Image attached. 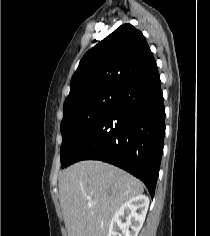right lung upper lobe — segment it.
Masks as SVG:
<instances>
[{
	"label": "right lung upper lobe",
	"instance_id": "obj_1",
	"mask_svg": "<svg viewBox=\"0 0 210 236\" xmlns=\"http://www.w3.org/2000/svg\"><path fill=\"white\" fill-rule=\"evenodd\" d=\"M156 68L143 34L130 24L122 25L83 56L71 79L64 112L92 96L120 92Z\"/></svg>",
	"mask_w": 210,
	"mask_h": 236
}]
</instances>
